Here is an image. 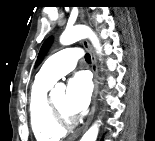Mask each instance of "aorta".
Wrapping results in <instances>:
<instances>
[{"label": "aorta", "instance_id": "1", "mask_svg": "<svg viewBox=\"0 0 155 141\" xmlns=\"http://www.w3.org/2000/svg\"><path fill=\"white\" fill-rule=\"evenodd\" d=\"M84 38H89L97 50V53L101 52V46L95 33L85 25H76L70 28H66L60 37V42L63 45H69ZM64 86L56 85L55 91H63ZM98 125H92L88 131L83 135L81 141H96L98 135Z\"/></svg>", "mask_w": 155, "mask_h": 141}]
</instances>
